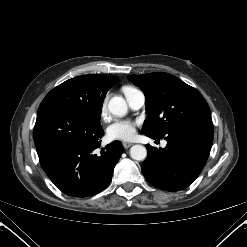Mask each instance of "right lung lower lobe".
<instances>
[{"instance_id":"right-lung-lower-lobe-1","label":"right lung lower lobe","mask_w":247,"mask_h":247,"mask_svg":"<svg viewBox=\"0 0 247 247\" xmlns=\"http://www.w3.org/2000/svg\"><path fill=\"white\" fill-rule=\"evenodd\" d=\"M103 134L99 123L71 108L39 107L34 139L40 164L63 193L87 197L109 185L124 149L114 141L95 154Z\"/></svg>"}]
</instances>
